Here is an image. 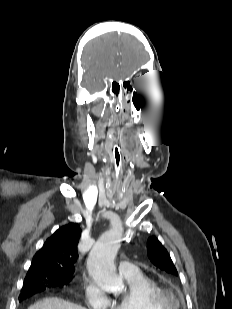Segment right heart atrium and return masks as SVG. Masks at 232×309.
<instances>
[{
    "label": "right heart atrium",
    "instance_id": "right-heart-atrium-1",
    "mask_svg": "<svg viewBox=\"0 0 232 309\" xmlns=\"http://www.w3.org/2000/svg\"><path fill=\"white\" fill-rule=\"evenodd\" d=\"M84 292L87 304L93 309H109L110 299L93 281L85 280Z\"/></svg>",
    "mask_w": 232,
    "mask_h": 309
}]
</instances>
